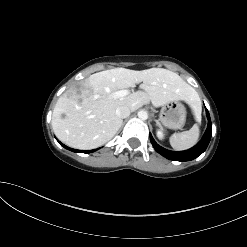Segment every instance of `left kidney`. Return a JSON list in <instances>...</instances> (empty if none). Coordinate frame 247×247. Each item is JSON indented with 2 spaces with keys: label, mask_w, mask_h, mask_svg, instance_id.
<instances>
[{
  "label": "left kidney",
  "mask_w": 247,
  "mask_h": 247,
  "mask_svg": "<svg viewBox=\"0 0 247 247\" xmlns=\"http://www.w3.org/2000/svg\"><path fill=\"white\" fill-rule=\"evenodd\" d=\"M156 136H157V138H158L159 140H163L165 134H164L163 130L158 129V130L156 131Z\"/></svg>",
  "instance_id": "obj_1"
}]
</instances>
